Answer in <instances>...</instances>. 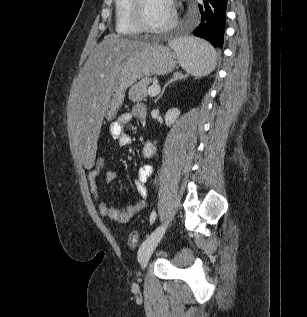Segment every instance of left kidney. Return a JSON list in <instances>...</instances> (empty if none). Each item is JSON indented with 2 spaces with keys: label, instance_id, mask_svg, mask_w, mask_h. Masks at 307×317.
I'll return each mask as SVG.
<instances>
[{
  "label": "left kidney",
  "instance_id": "left-kidney-1",
  "mask_svg": "<svg viewBox=\"0 0 307 317\" xmlns=\"http://www.w3.org/2000/svg\"><path fill=\"white\" fill-rule=\"evenodd\" d=\"M180 115V111L177 108L169 109L165 115V123L167 126H171L177 120ZM156 148L151 142H147L143 148V155L146 158H150L155 153Z\"/></svg>",
  "mask_w": 307,
  "mask_h": 317
}]
</instances>
